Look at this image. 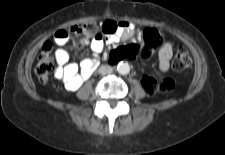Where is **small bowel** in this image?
<instances>
[{"label": "small bowel", "instance_id": "c3829d8e", "mask_svg": "<svg viewBox=\"0 0 225 155\" xmlns=\"http://www.w3.org/2000/svg\"><path fill=\"white\" fill-rule=\"evenodd\" d=\"M134 26L125 21L107 20L102 24V33L97 34L90 43L92 55L81 61L80 65L69 60V54L63 46L71 42V33L67 29H57L52 36L53 42L60 46L55 52L57 62L56 78L68 90L78 89L94 72L99 63V54L105 44L117 41L119 37L128 38L134 33ZM173 51L170 43L165 42L158 52V67L163 73L170 68Z\"/></svg>", "mask_w": 225, "mask_h": 155}]
</instances>
